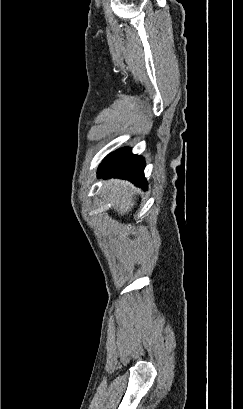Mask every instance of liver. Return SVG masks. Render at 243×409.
I'll return each instance as SVG.
<instances>
[{"label": "liver", "instance_id": "1", "mask_svg": "<svg viewBox=\"0 0 243 409\" xmlns=\"http://www.w3.org/2000/svg\"><path fill=\"white\" fill-rule=\"evenodd\" d=\"M103 189L108 196V200L113 202V209L121 216L128 214L134 207L133 195L135 188L128 181L110 179L105 181Z\"/></svg>", "mask_w": 243, "mask_h": 409}]
</instances>
